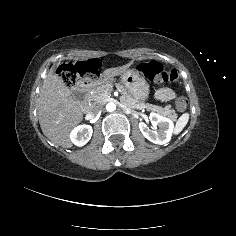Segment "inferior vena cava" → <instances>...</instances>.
<instances>
[{
    "label": "inferior vena cava",
    "mask_w": 236,
    "mask_h": 236,
    "mask_svg": "<svg viewBox=\"0 0 236 236\" xmlns=\"http://www.w3.org/2000/svg\"><path fill=\"white\" fill-rule=\"evenodd\" d=\"M103 110V105L102 104H94L91 109H90V112L93 114V115H97L98 113H100L101 111Z\"/></svg>",
    "instance_id": "obj_1"
}]
</instances>
